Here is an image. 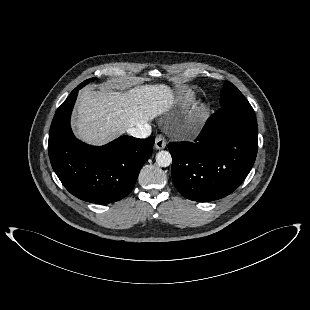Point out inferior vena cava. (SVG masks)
<instances>
[{
	"label": "inferior vena cava",
	"instance_id": "obj_1",
	"mask_svg": "<svg viewBox=\"0 0 310 310\" xmlns=\"http://www.w3.org/2000/svg\"><path fill=\"white\" fill-rule=\"evenodd\" d=\"M127 132L136 138H147L151 133V127L148 124L143 126L139 125L137 127L128 128Z\"/></svg>",
	"mask_w": 310,
	"mask_h": 310
}]
</instances>
